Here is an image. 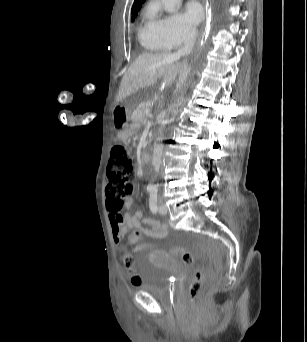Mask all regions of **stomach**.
Listing matches in <instances>:
<instances>
[{"label": "stomach", "instance_id": "obj_1", "mask_svg": "<svg viewBox=\"0 0 307 342\" xmlns=\"http://www.w3.org/2000/svg\"><path fill=\"white\" fill-rule=\"evenodd\" d=\"M113 119L121 129L125 130L130 119V111L126 108L117 106L113 111Z\"/></svg>", "mask_w": 307, "mask_h": 342}]
</instances>
